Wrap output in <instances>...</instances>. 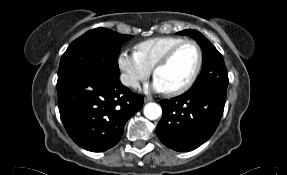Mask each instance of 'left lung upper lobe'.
<instances>
[{
  "label": "left lung upper lobe",
  "instance_id": "left-lung-upper-lobe-1",
  "mask_svg": "<svg viewBox=\"0 0 287 175\" xmlns=\"http://www.w3.org/2000/svg\"><path fill=\"white\" fill-rule=\"evenodd\" d=\"M178 34L191 36L197 41L203 50L202 71L188 91L197 92L206 89H213L226 92L229 82L228 73L222 55L218 50L210 41L196 30H183Z\"/></svg>",
  "mask_w": 287,
  "mask_h": 175
}]
</instances>
